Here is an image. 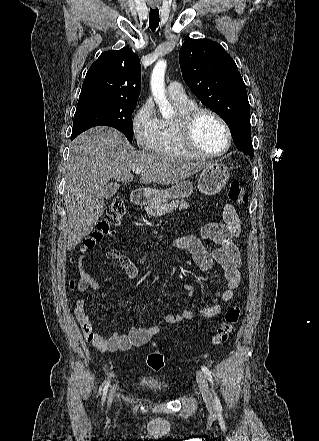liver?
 I'll list each match as a JSON object with an SVG mask.
<instances>
[{"label":"liver","instance_id":"6515ba94","mask_svg":"<svg viewBox=\"0 0 319 441\" xmlns=\"http://www.w3.org/2000/svg\"><path fill=\"white\" fill-rule=\"evenodd\" d=\"M64 201L67 221L64 245L73 250L94 229L105 211L104 197L111 178L133 181L132 171L143 170L140 182L178 184L208 163L134 151L116 129L98 126L77 136L69 145Z\"/></svg>","mask_w":319,"mask_h":441}]
</instances>
